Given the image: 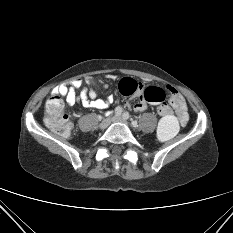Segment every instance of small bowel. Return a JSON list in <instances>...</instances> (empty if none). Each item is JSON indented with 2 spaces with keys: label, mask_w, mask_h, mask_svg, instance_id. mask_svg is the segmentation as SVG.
<instances>
[{
  "label": "small bowel",
  "mask_w": 233,
  "mask_h": 233,
  "mask_svg": "<svg viewBox=\"0 0 233 233\" xmlns=\"http://www.w3.org/2000/svg\"><path fill=\"white\" fill-rule=\"evenodd\" d=\"M85 82L89 90L83 91L80 95H77V90L83 85L82 79H74L69 85H60L53 91V94L63 96L69 105L82 104L84 107L89 108L108 109L113 102V98L109 97L107 100L98 98L96 90L97 81L95 79L87 78ZM167 90L169 92V103L171 107L175 110L180 123L185 124L188 120V115L184 97L172 86H168ZM133 108L137 112H142L146 110L147 104L141 99Z\"/></svg>",
  "instance_id": "obj_1"
}]
</instances>
